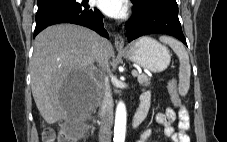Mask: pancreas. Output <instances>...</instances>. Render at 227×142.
Returning <instances> with one entry per match:
<instances>
[{
	"label": "pancreas",
	"instance_id": "obj_1",
	"mask_svg": "<svg viewBox=\"0 0 227 142\" xmlns=\"http://www.w3.org/2000/svg\"><path fill=\"white\" fill-rule=\"evenodd\" d=\"M137 81L140 86H149L150 84V77L145 74H138Z\"/></svg>",
	"mask_w": 227,
	"mask_h": 142
}]
</instances>
